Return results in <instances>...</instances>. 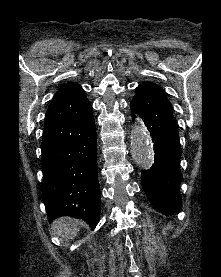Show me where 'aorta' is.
<instances>
[{"instance_id": "762f6f07", "label": "aorta", "mask_w": 221, "mask_h": 277, "mask_svg": "<svg viewBox=\"0 0 221 277\" xmlns=\"http://www.w3.org/2000/svg\"><path fill=\"white\" fill-rule=\"evenodd\" d=\"M132 153L137 163L145 168L152 165L154 160V150L151 137L141 123H135L130 136Z\"/></svg>"}]
</instances>
